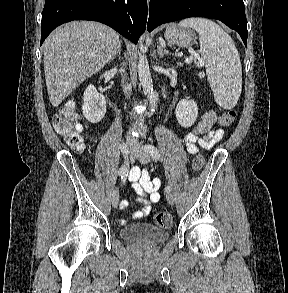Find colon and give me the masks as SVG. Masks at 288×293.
<instances>
[{
	"instance_id": "obj_1",
	"label": "colon",
	"mask_w": 288,
	"mask_h": 293,
	"mask_svg": "<svg viewBox=\"0 0 288 293\" xmlns=\"http://www.w3.org/2000/svg\"><path fill=\"white\" fill-rule=\"evenodd\" d=\"M236 118V112L229 110L223 112L219 118V124L224 127L231 126ZM54 128L64 138L66 143L74 150L81 151L84 148L83 129L78 122L74 106L65 105L54 117ZM205 164L202 154H197L192 160V168L200 171ZM172 215L168 212H159L155 215L154 222L162 227L168 228L172 225Z\"/></svg>"
}]
</instances>
